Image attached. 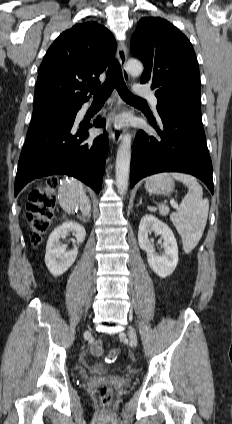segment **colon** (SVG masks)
Instances as JSON below:
<instances>
[{"label":"colon","instance_id":"1","mask_svg":"<svg viewBox=\"0 0 232 424\" xmlns=\"http://www.w3.org/2000/svg\"><path fill=\"white\" fill-rule=\"evenodd\" d=\"M56 194L51 187H36L28 195L26 204V219L31 229V242L37 246L42 235L49 229L54 217ZM121 349L120 347L118 348ZM119 351L114 349L107 354V361L114 362ZM99 396L103 404H108L113 397V389L103 385L99 389Z\"/></svg>","mask_w":232,"mask_h":424}]
</instances>
